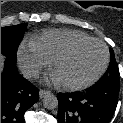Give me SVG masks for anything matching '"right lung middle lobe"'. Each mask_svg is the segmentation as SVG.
I'll list each match as a JSON object with an SVG mask.
<instances>
[{
	"label": "right lung middle lobe",
	"mask_w": 123,
	"mask_h": 123,
	"mask_svg": "<svg viewBox=\"0 0 123 123\" xmlns=\"http://www.w3.org/2000/svg\"><path fill=\"white\" fill-rule=\"evenodd\" d=\"M26 31V24L1 28V54L16 63V51Z\"/></svg>",
	"instance_id": "obj_1"
}]
</instances>
